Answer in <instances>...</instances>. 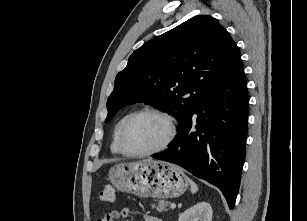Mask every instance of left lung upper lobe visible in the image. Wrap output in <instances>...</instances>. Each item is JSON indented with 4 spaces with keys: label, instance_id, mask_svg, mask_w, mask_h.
I'll list each match as a JSON object with an SVG mask.
<instances>
[{
    "label": "left lung upper lobe",
    "instance_id": "5c2ea615",
    "mask_svg": "<svg viewBox=\"0 0 307 221\" xmlns=\"http://www.w3.org/2000/svg\"><path fill=\"white\" fill-rule=\"evenodd\" d=\"M239 57L236 43L217 19L195 16L144 43L129 57L108 98L106 121L126 105L145 102L172 114L182 127Z\"/></svg>",
    "mask_w": 307,
    "mask_h": 221
}]
</instances>
